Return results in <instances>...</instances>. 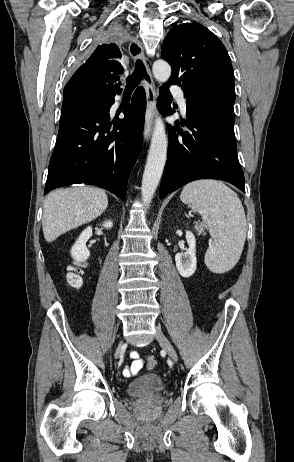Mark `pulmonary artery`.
<instances>
[{
  "mask_svg": "<svg viewBox=\"0 0 294 462\" xmlns=\"http://www.w3.org/2000/svg\"><path fill=\"white\" fill-rule=\"evenodd\" d=\"M173 92H174L176 101L178 102L181 111L185 113L187 111V105H186V99H185L182 89L174 88Z\"/></svg>",
  "mask_w": 294,
  "mask_h": 462,
  "instance_id": "obj_1",
  "label": "pulmonary artery"
}]
</instances>
